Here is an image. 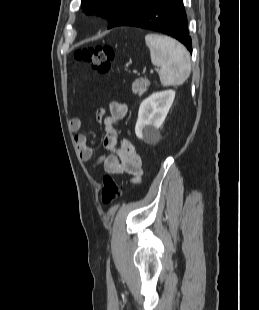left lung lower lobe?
Returning <instances> with one entry per match:
<instances>
[{"mask_svg": "<svg viewBox=\"0 0 259 310\" xmlns=\"http://www.w3.org/2000/svg\"><path fill=\"white\" fill-rule=\"evenodd\" d=\"M115 26H136L162 32L176 38L192 52L183 0H149L126 13Z\"/></svg>", "mask_w": 259, "mask_h": 310, "instance_id": "left-lung-lower-lobe-1", "label": "left lung lower lobe"}]
</instances>
